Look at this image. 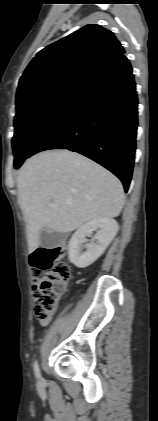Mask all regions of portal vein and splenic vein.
Instances as JSON below:
<instances>
[{"label": "portal vein and splenic vein", "mask_w": 158, "mask_h": 421, "mask_svg": "<svg viewBox=\"0 0 158 421\" xmlns=\"http://www.w3.org/2000/svg\"><path fill=\"white\" fill-rule=\"evenodd\" d=\"M50 207H57V204L56 203H51L50 204Z\"/></svg>", "instance_id": "1"}]
</instances>
